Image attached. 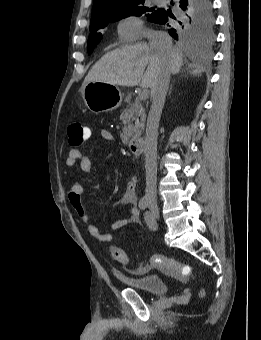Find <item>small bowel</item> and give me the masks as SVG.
Here are the masks:
<instances>
[{
  "mask_svg": "<svg viewBox=\"0 0 261 340\" xmlns=\"http://www.w3.org/2000/svg\"><path fill=\"white\" fill-rule=\"evenodd\" d=\"M86 132V140L91 137V129L85 127ZM100 135L104 140L113 141V134L107 129H101ZM76 164L79 165L80 169L89 174L92 171V164L90 159L84 155L79 149L73 148L70 149L67 157H66V165L69 167H73ZM137 179L135 176H131L127 185V188L120 198V203L123 205H130L131 210L129 215L126 218L114 221L109 225L110 231H115L121 229L127 225L138 223L139 222V210L136 207L137 197L135 193ZM68 200L78 216L80 222L86 227L87 231L94 238L103 241V242H111L113 240V235L110 232L103 233L101 230L93 223L91 216L87 210L84 197H83V187L75 183L73 184L68 191ZM146 270V268H142L141 271Z\"/></svg>",
  "mask_w": 261,
  "mask_h": 340,
  "instance_id": "small-bowel-1",
  "label": "small bowel"
}]
</instances>
